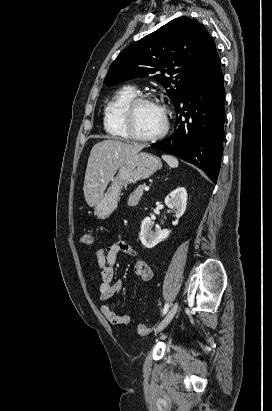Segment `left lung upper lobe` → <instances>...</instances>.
I'll list each match as a JSON object with an SVG mask.
<instances>
[{
  "label": "left lung upper lobe",
  "instance_id": "5c2ea615",
  "mask_svg": "<svg viewBox=\"0 0 272 411\" xmlns=\"http://www.w3.org/2000/svg\"><path fill=\"white\" fill-rule=\"evenodd\" d=\"M217 57L207 30L197 20L180 17L124 49L109 68L104 83L117 85L153 76L167 89L175 106Z\"/></svg>",
  "mask_w": 272,
  "mask_h": 411
}]
</instances>
